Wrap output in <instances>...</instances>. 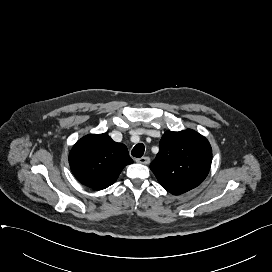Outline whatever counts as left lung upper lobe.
Wrapping results in <instances>:
<instances>
[{"mask_svg": "<svg viewBox=\"0 0 272 272\" xmlns=\"http://www.w3.org/2000/svg\"><path fill=\"white\" fill-rule=\"evenodd\" d=\"M211 161L212 149L205 137L191 129L168 131L160 140L159 153L150 169L164 189L180 195L203 182Z\"/></svg>", "mask_w": 272, "mask_h": 272, "instance_id": "5c2ea615", "label": "left lung upper lobe"}]
</instances>
